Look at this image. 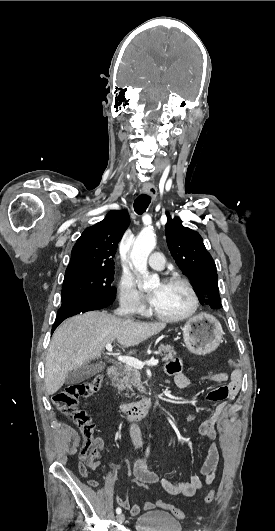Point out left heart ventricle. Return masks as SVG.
Returning <instances> with one entry per match:
<instances>
[{
	"label": "left heart ventricle",
	"mask_w": 275,
	"mask_h": 531,
	"mask_svg": "<svg viewBox=\"0 0 275 531\" xmlns=\"http://www.w3.org/2000/svg\"><path fill=\"white\" fill-rule=\"evenodd\" d=\"M156 294L154 308L165 316H178L190 308L191 298L187 289L176 282H163L152 288Z\"/></svg>",
	"instance_id": "left-heart-ventricle-1"
}]
</instances>
